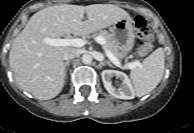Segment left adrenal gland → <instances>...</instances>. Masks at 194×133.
Segmentation results:
<instances>
[{
  "label": "left adrenal gland",
  "instance_id": "left-adrenal-gland-1",
  "mask_svg": "<svg viewBox=\"0 0 194 133\" xmlns=\"http://www.w3.org/2000/svg\"><path fill=\"white\" fill-rule=\"evenodd\" d=\"M105 64H107L108 66L112 67V64L109 61H105Z\"/></svg>",
  "mask_w": 194,
  "mask_h": 133
}]
</instances>
